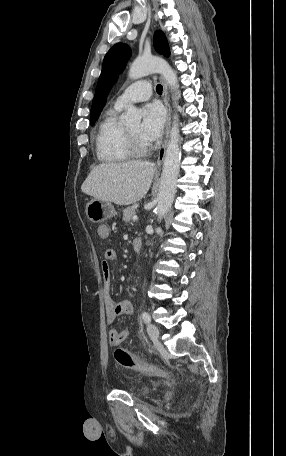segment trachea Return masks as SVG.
Segmentation results:
<instances>
[{"label":"trachea","mask_w":286,"mask_h":456,"mask_svg":"<svg viewBox=\"0 0 286 456\" xmlns=\"http://www.w3.org/2000/svg\"><path fill=\"white\" fill-rule=\"evenodd\" d=\"M162 90H163L162 85L158 84V85L156 86V92H157L158 94H162Z\"/></svg>","instance_id":"trachea-1"}]
</instances>
